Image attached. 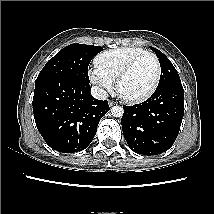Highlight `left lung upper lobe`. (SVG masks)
I'll list each match as a JSON object with an SVG mask.
<instances>
[{
	"label": "left lung upper lobe",
	"mask_w": 214,
	"mask_h": 214,
	"mask_svg": "<svg viewBox=\"0 0 214 214\" xmlns=\"http://www.w3.org/2000/svg\"><path fill=\"white\" fill-rule=\"evenodd\" d=\"M150 48L157 55L161 66V76L157 88H161L171 83L181 82L180 77L171 61L158 49L154 47Z\"/></svg>",
	"instance_id": "1"
}]
</instances>
